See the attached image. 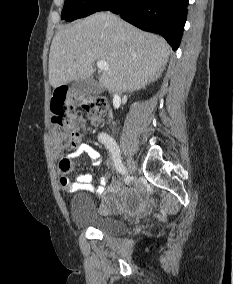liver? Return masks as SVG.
Masks as SVG:
<instances>
[{
	"mask_svg": "<svg viewBox=\"0 0 233 284\" xmlns=\"http://www.w3.org/2000/svg\"><path fill=\"white\" fill-rule=\"evenodd\" d=\"M171 48L158 35L139 30L111 13H95L61 28L49 53V82L57 88L94 73L105 60L109 69L99 78L113 93L133 92L156 81L168 62Z\"/></svg>",
	"mask_w": 233,
	"mask_h": 284,
	"instance_id": "1",
	"label": "liver"
}]
</instances>
